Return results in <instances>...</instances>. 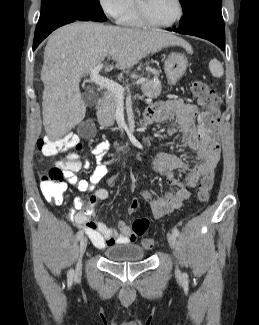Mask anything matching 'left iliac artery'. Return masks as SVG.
<instances>
[{
  "instance_id": "left-iliac-artery-1",
  "label": "left iliac artery",
  "mask_w": 259,
  "mask_h": 325,
  "mask_svg": "<svg viewBox=\"0 0 259 325\" xmlns=\"http://www.w3.org/2000/svg\"><path fill=\"white\" fill-rule=\"evenodd\" d=\"M172 232H173V234L175 235V236H179V230L176 228V227H174L173 229H172ZM183 278L186 280V279H188V275H187V273H183Z\"/></svg>"
}]
</instances>
